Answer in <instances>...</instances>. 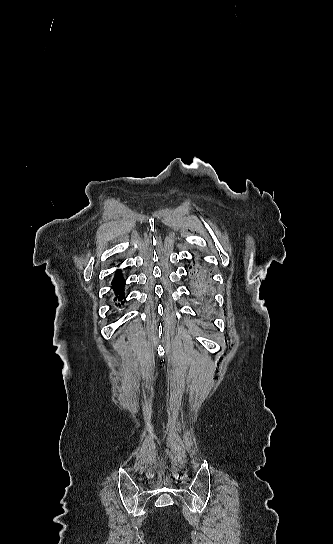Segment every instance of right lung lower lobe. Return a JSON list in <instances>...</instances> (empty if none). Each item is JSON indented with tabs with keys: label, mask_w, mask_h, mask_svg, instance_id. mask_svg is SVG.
<instances>
[{
	"label": "right lung lower lobe",
	"mask_w": 333,
	"mask_h": 544,
	"mask_svg": "<svg viewBox=\"0 0 333 544\" xmlns=\"http://www.w3.org/2000/svg\"><path fill=\"white\" fill-rule=\"evenodd\" d=\"M124 281H123V278H122V275L120 273H117L116 277L114 278L113 282H112V287L115 291V294H116V298H115V301L118 299V301H121L123 300L124 298V294H123V286H124Z\"/></svg>",
	"instance_id": "1"
}]
</instances>
